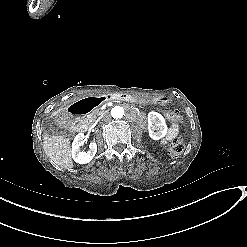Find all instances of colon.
Here are the masks:
<instances>
[{"label":"colon","instance_id":"5ec220e1","mask_svg":"<svg viewBox=\"0 0 247 247\" xmlns=\"http://www.w3.org/2000/svg\"><path fill=\"white\" fill-rule=\"evenodd\" d=\"M164 115L167 117L168 121L171 123H174L177 121V123L182 124L185 121V117L182 114H179L176 111H169L166 110L164 112ZM185 149V142L182 138H177L174 140L173 144L169 148V156L171 158L178 157Z\"/></svg>","mask_w":247,"mask_h":247}]
</instances>
